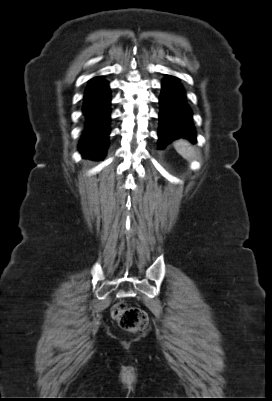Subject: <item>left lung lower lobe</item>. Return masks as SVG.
Segmentation results:
<instances>
[{
	"mask_svg": "<svg viewBox=\"0 0 272 401\" xmlns=\"http://www.w3.org/2000/svg\"><path fill=\"white\" fill-rule=\"evenodd\" d=\"M192 112L185 101V92L176 78L168 77L162 83L159 115V148L176 138L196 142Z\"/></svg>",
	"mask_w": 272,
	"mask_h": 401,
	"instance_id": "0a47b994",
	"label": "left lung lower lobe"
}]
</instances>
